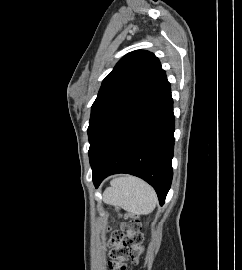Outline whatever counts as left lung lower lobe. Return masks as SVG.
I'll use <instances>...</instances> for the list:
<instances>
[{
    "label": "left lung lower lobe",
    "instance_id": "0a47b994",
    "mask_svg": "<svg viewBox=\"0 0 242 270\" xmlns=\"http://www.w3.org/2000/svg\"><path fill=\"white\" fill-rule=\"evenodd\" d=\"M174 114L167 78L110 130L91 162L97 188L104 178L128 173L142 178L165 202L173 171Z\"/></svg>",
    "mask_w": 242,
    "mask_h": 270
}]
</instances>
